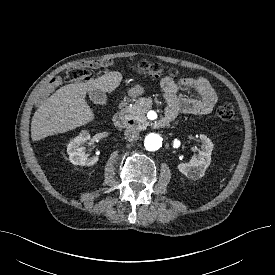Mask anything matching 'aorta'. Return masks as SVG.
I'll list each match as a JSON object with an SVG mask.
<instances>
[{"mask_svg": "<svg viewBox=\"0 0 275 275\" xmlns=\"http://www.w3.org/2000/svg\"><path fill=\"white\" fill-rule=\"evenodd\" d=\"M162 137L156 133H150L145 137L144 145L148 151H156L162 147Z\"/></svg>", "mask_w": 275, "mask_h": 275, "instance_id": "aorta-1", "label": "aorta"}]
</instances>
